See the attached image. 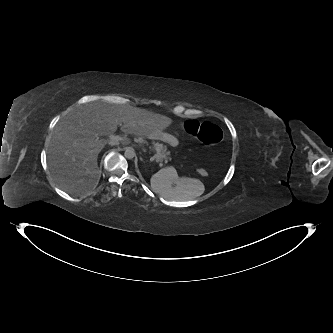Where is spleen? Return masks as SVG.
Segmentation results:
<instances>
[{"mask_svg":"<svg viewBox=\"0 0 333 333\" xmlns=\"http://www.w3.org/2000/svg\"><path fill=\"white\" fill-rule=\"evenodd\" d=\"M151 188L168 200H190L201 196L205 187L194 178H179L171 168L161 169L151 177Z\"/></svg>","mask_w":333,"mask_h":333,"instance_id":"1","label":"spleen"}]
</instances>
